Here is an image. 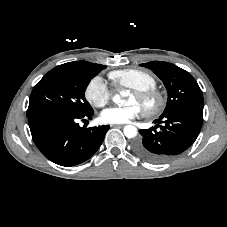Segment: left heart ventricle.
I'll use <instances>...</instances> for the list:
<instances>
[{
  "label": "left heart ventricle",
  "mask_w": 227,
  "mask_h": 227,
  "mask_svg": "<svg viewBox=\"0 0 227 227\" xmlns=\"http://www.w3.org/2000/svg\"><path fill=\"white\" fill-rule=\"evenodd\" d=\"M128 104H137L140 106V103L138 102V100L136 99V97L133 94L130 95V97L128 99Z\"/></svg>",
  "instance_id": "left-heart-ventricle-1"
}]
</instances>
